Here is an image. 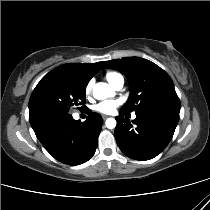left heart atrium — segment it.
Masks as SVG:
<instances>
[{
    "mask_svg": "<svg viewBox=\"0 0 210 210\" xmlns=\"http://www.w3.org/2000/svg\"><path fill=\"white\" fill-rule=\"evenodd\" d=\"M118 105L119 102L116 100H105L93 105L92 110L101 114H112Z\"/></svg>",
    "mask_w": 210,
    "mask_h": 210,
    "instance_id": "obj_1",
    "label": "left heart atrium"
}]
</instances>
